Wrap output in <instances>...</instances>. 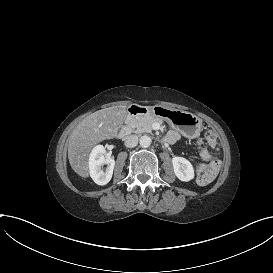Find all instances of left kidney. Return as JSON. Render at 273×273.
I'll return each instance as SVG.
<instances>
[{
  "label": "left kidney",
  "mask_w": 273,
  "mask_h": 273,
  "mask_svg": "<svg viewBox=\"0 0 273 273\" xmlns=\"http://www.w3.org/2000/svg\"><path fill=\"white\" fill-rule=\"evenodd\" d=\"M172 166L175 176L181 182H190L195 178L194 167L186 158L174 156L172 158Z\"/></svg>",
  "instance_id": "left-kidney-1"
}]
</instances>
